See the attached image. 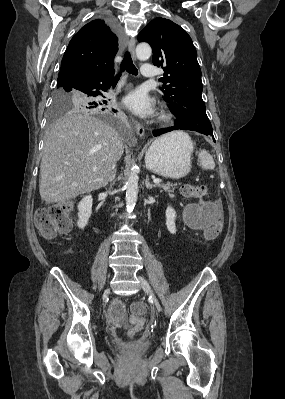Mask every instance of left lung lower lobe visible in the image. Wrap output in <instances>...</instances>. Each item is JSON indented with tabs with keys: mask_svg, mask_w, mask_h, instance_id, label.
Instances as JSON below:
<instances>
[{
	"mask_svg": "<svg viewBox=\"0 0 285 399\" xmlns=\"http://www.w3.org/2000/svg\"><path fill=\"white\" fill-rule=\"evenodd\" d=\"M175 129H180V128L177 127V126H174V127H170V128H166V129L155 130V131H153V135H154V136H159V135H161V134L170 132V131L175 130ZM214 141H215V140H214Z\"/></svg>",
	"mask_w": 285,
	"mask_h": 399,
	"instance_id": "0a47b994",
	"label": "left lung lower lobe"
}]
</instances>
